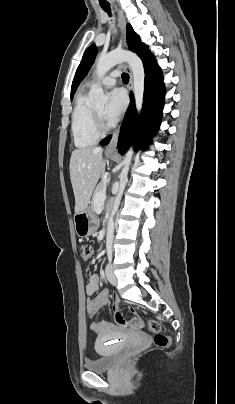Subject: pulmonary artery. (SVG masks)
I'll return each mask as SVG.
<instances>
[{
    "mask_svg": "<svg viewBox=\"0 0 235 404\" xmlns=\"http://www.w3.org/2000/svg\"><path fill=\"white\" fill-rule=\"evenodd\" d=\"M119 75V71L115 70L106 75L105 77L101 78L97 82H92L91 85L98 84L103 87H112L116 83V78Z\"/></svg>",
    "mask_w": 235,
    "mask_h": 404,
    "instance_id": "1",
    "label": "pulmonary artery"
}]
</instances>
